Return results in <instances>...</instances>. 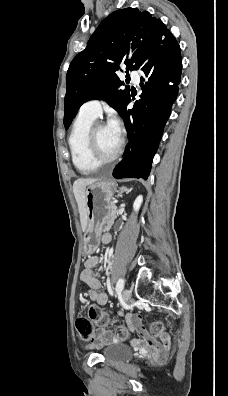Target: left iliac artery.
Masks as SVG:
<instances>
[{"label": "left iliac artery", "mask_w": 228, "mask_h": 396, "mask_svg": "<svg viewBox=\"0 0 228 396\" xmlns=\"http://www.w3.org/2000/svg\"><path fill=\"white\" fill-rule=\"evenodd\" d=\"M124 283H125V281H124L123 278H120V279L118 280V282H117V284H116V292H117L118 294L121 293V291L123 290V288H124Z\"/></svg>", "instance_id": "left-iliac-artery-1"}]
</instances>
